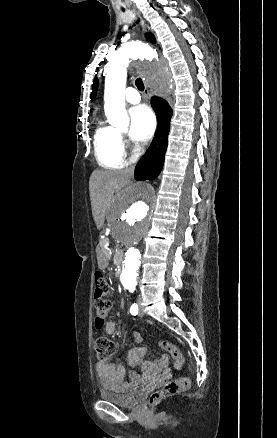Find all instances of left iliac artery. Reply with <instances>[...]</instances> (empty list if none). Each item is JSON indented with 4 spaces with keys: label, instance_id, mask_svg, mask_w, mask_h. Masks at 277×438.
Listing matches in <instances>:
<instances>
[{
    "label": "left iliac artery",
    "instance_id": "1",
    "mask_svg": "<svg viewBox=\"0 0 277 438\" xmlns=\"http://www.w3.org/2000/svg\"><path fill=\"white\" fill-rule=\"evenodd\" d=\"M130 312L132 315H137L138 314V307L137 304H132L131 308H130Z\"/></svg>",
    "mask_w": 277,
    "mask_h": 438
}]
</instances>
